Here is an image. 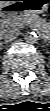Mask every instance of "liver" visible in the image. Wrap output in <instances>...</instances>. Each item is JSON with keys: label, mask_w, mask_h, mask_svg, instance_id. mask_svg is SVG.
Segmentation results:
<instances>
[{"label": "liver", "mask_w": 50, "mask_h": 111, "mask_svg": "<svg viewBox=\"0 0 50 111\" xmlns=\"http://www.w3.org/2000/svg\"><path fill=\"white\" fill-rule=\"evenodd\" d=\"M13 2L11 1H1L0 2V7L3 8V7H6V6H9L11 5Z\"/></svg>", "instance_id": "obj_1"}]
</instances>
